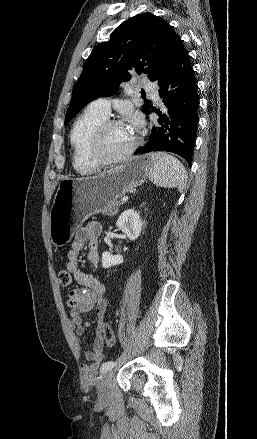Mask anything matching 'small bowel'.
I'll return each instance as SVG.
<instances>
[{
	"label": "small bowel",
	"mask_w": 257,
	"mask_h": 439,
	"mask_svg": "<svg viewBox=\"0 0 257 439\" xmlns=\"http://www.w3.org/2000/svg\"><path fill=\"white\" fill-rule=\"evenodd\" d=\"M101 225L97 222H90L80 228L71 243V249L67 253L66 271L69 272L79 285V288L69 292L67 306L70 309V328L74 338L80 345V337L91 324L84 320L83 315L95 312L99 325L103 323L107 300L105 298V285L95 276L79 270L78 259L81 250L87 244V258L91 264L96 266L99 262V236ZM104 339L96 332V337L91 349L85 352V358L90 364L82 366V375L85 380L90 378L104 358Z\"/></svg>",
	"instance_id": "small-bowel-1"
}]
</instances>
